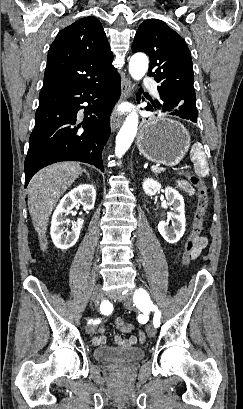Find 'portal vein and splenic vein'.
Listing matches in <instances>:
<instances>
[{
  "label": "portal vein and splenic vein",
  "mask_w": 243,
  "mask_h": 409,
  "mask_svg": "<svg viewBox=\"0 0 243 409\" xmlns=\"http://www.w3.org/2000/svg\"><path fill=\"white\" fill-rule=\"evenodd\" d=\"M151 169L154 171V170H157L158 169V165H153L152 167H151Z\"/></svg>",
  "instance_id": "18ae733b"
}]
</instances>
